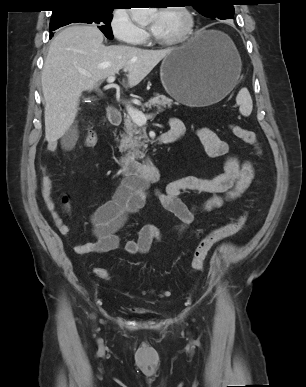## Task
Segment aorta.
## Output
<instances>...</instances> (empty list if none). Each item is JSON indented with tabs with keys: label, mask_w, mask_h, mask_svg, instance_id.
<instances>
[{
	"label": "aorta",
	"mask_w": 306,
	"mask_h": 387,
	"mask_svg": "<svg viewBox=\"0 0 306 387\" xmlns=\"http://www.w3.org/2000/svg\"><path fill=\"white\" fill-rule=\"evenodd\" d=\"M154 12V8H131V18L136 23H144Z\"/></svg>",
	"instance_id": "aorta-1"
}]
</instances>
